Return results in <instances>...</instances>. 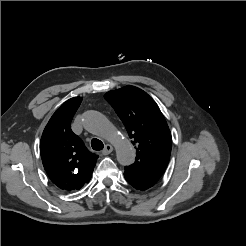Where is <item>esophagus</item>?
Masks as SVG:
<instances>
[{
  "label": "esophagus",
  "mask_w": 246,
  "mask_h": 246,
  "mask_svg": "<svg viewBox=\"0 0 246 246\" xmlns=\"http://www.w3.org/2000/svg\"><path fill=\"white\" fill-rule=\"evenodd\" d=\"M112 151H113V147L110 144H106L105 147H104V149H103V151H102V154L103 155H108Z\"/></svg>",
  "instance_id": "esophagus-1"
}]
</instances>
